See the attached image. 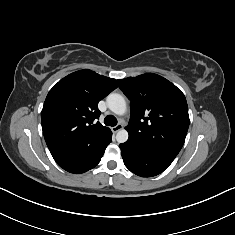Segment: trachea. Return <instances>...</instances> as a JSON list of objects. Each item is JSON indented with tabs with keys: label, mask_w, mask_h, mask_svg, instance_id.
<instances>
[{
	"label": "trachea",
	"mask_w": 235,
	"mask_h": 235,
	"mask_svg": "<svg viewBox=\"0 0 235 235\" xmlns=\"http://www.w3.org/2000/svg\"><path fill=\"white\" fill-rule=\"evenodd\" d=\"M104 123L107 126H116L117 119L113 115H107L104 119Z\"/></svg>",
	"instance_id": "obj_1"
}]
</instances>
